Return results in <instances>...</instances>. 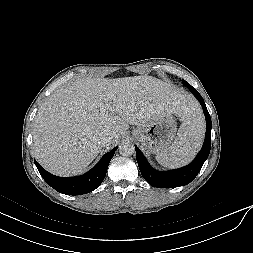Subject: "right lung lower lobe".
Returning <instances> with one entry per match:
<instances>
[{"label":"right lung lower lobe","mask_w":253,"mask_h":253,"mask_svg":"<svg viewBox=\"0 0 253 253\" xmlns=\"http://www.w3.org/2000/svg\"><path fill=\"white\" fill-rule=\"evenodd\" d=\"M116 149L117 147L105 154L89 172L77 177L64 178L52 175L42 168L37 161L34 162L46 183L56 191L67 195H81L89 193L100 186Z\"/></svg>","instance_id":"right-lung-lower-lobe-1"}]
</instances>
